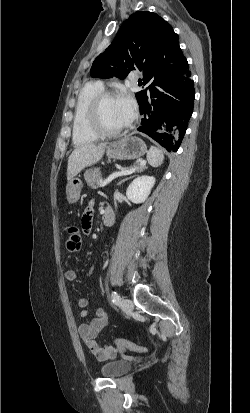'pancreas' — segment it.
Masks as SVG:
<instances>
[{"mask_svg": "<svg viewBox=\"0 0 250 413\" xmlns=\"http://www.w3.org/2000/svg\"><path fill=\"white\" fill-rule=\"evenodd\" d=\"M125 170L129 168H123ZM142 170L141 168H137V171ZM85 181L87 182L88 186L91 188L95 189L100 185L101 182V172L99 168H92L89 170H86L84 174Z\"/></svg>", "mask_w": 250, "mask_h": 413, "instance_id": "pancreas-1", "label": "pancreas"}]
</instances>
